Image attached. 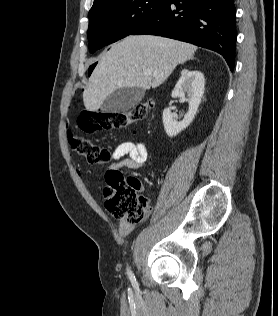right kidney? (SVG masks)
<instances>
[{
	"instance_id": "1",
	"label": "right kidney",
	"mask_w": 278,
	"mask_h": 316,
	"mask_svg": "<svg viewBox=\"0 0 278 316\" xmlns=\"http://www.w3.org/2000/svg\"><path fill=\"white\" fill-rule=\"evenodd\" d=\"M204 86V75L200 71H189L187 69L181 71V77L175 85L171 96L177 98L186 95L189 110L185 114L184 119L178 122L176 116L171 113L170 109H164L162 120L165 132L169 137L176 136L192 123L204 93Z\"/></svg>"
}]
</instances>
